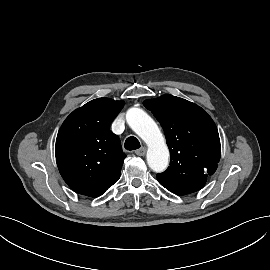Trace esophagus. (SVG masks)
<instances>
[{
	"instance_id": "esophagus-1",
	"label": "esophagus",
	"mask_w": 270,
	"mask_h": 270,
	"mask_svg": "<svg viewBox=\"0 0 270 270\" xmlns=\"http://www.w3.org/2000/svg\"><path fill=\"white\" fill-rule=\"evenodd\" d=\"M135 153L138 156H144L146 154V148L145 147H141L140 149H138L137 151H135Z\"/></svg>"
}]
</instances>
